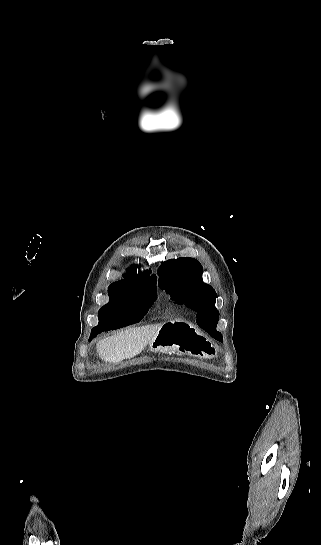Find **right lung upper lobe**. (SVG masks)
Listing matches in <instances>:
<instances>
[{"label":"right lung upper lobe","instance_id":"cb5924a9","mask_svg":"<svg viewBox=\"0 0 321 545\" xmlns=\"http://www.w3.org/2000/svg\"><path fill=\"white\" fill-rule=\"evenodd\" d=\"M132 268L136 269L137 266L133 265ZM150 271H145L143 273H133L128 271L124 275L125 280L115 282L110 285V288H121L129 290H142V289H156V277L153 275L150 280L147 278L150 275Z\"/></svg>","mask_w":321,"mask_h":545}]
</instances>
